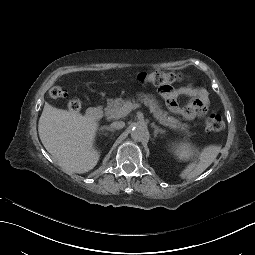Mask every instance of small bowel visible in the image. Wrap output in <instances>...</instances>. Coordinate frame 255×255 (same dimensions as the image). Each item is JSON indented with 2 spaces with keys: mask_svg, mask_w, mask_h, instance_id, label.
Returning a JSON list of instances; mask_svg holds the SVG:
<instances>
[{
  "mask_svg": "<svg viewBox=\"0 0 255 255\" xmlns=\"http://www.w3.org/2000/svg\"><path fill=\"white\" fill-rule=\"evenodd\" d=\"M178 94L191 97V101L184 108H180L176 103L171 104L173 112L181 114L187 120H193L205 114L209 104L208 92L203 88H195L192 85L181 87Z\"/></svg>",
  "mask_w": 255,
  "mask_h": 255,
  "instance_id": "small-bowel-1",
  "label": "small bowel"
}]
</instances>
